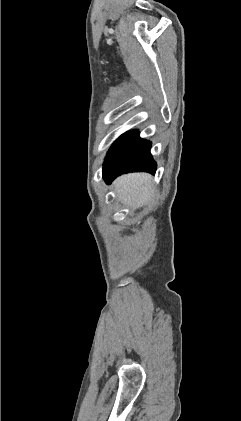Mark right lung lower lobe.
I'll list each match as a JSON object with an SVG mask.
<instances>
[{"label":"right lung lower lobe","mask_w":241,"mask_h":421,"mask_svg":"<svg viewBox=\"0 0 241 421\" xmlns=\"http://www.w3.org/2000/svg\"><path fill=\"white\" fill-rule=\"evenodd\" d=\"M151 142L139 137L138 131L120 136L107 153L103 164V178L110 183L117 176L128 172L155 173L156 163L150 154Z\"/></svg>","instance_id":"98d812e1"}]
</instances>
